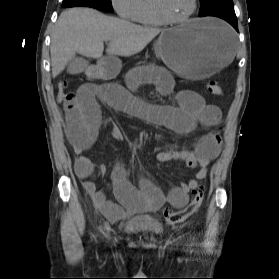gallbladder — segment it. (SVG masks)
<instances>
[{
  "label": "gallbladder",
  "instance_id": "gallbladder-1",
  "mask_svg": "<svg viewBox=\"0 0 279 279\" xmlns=\"http://www.w3.org/2000/svg\"><path fill=\"white\" fill-rule=\"evenodd\" d=\"M88 65V61L84 58H73L67 65V72L72 75L80 74L87 69Z\"/></svg>",
  "mask_w": 279,
  "mask_h": 279
}]
</instances>
